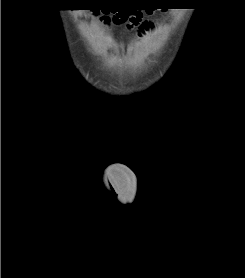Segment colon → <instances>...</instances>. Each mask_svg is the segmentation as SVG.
Returning a JSON list of instances; mask_svg holds the SVG:
<instances>
[{"label": "colon", "mask_w": 245, "mask_h": 278, "mask_svg": "<svg viewBox=\"0 0 245 278\" xmlns=\"http://www.w3.org/2000/svg\"><path fill=\"white\" fill-rule=\"evenodd\" d=\"M106 23H113V24H126L128 27H139L140 33H142L147 26L142 24V15L140 13H132L130 15H118L114 16L113 18H105Z\"/></svg>", "instance_id": "colon-1"}]
</instances>
